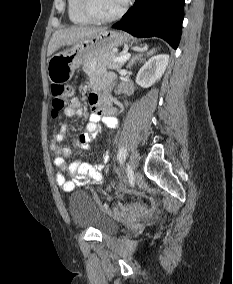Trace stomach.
I'll return each instance as SVG.
<instances>
[{"mask_svg":"<svg viewBox=\"0 0 233 284\" xmlns=\"http://www.w3.org/2000/svg\"><path fill=\"white\" fill-rule=\"evenodd\" d=\"M129 41V37L115 30H103L92 38L82 40L70 49L58 52L47 62L48 78L53 84L67 83L75 70L83 64L110 52Z\"/></svg>","mask_w":233,"mask_h":284,"instance_id":"obj_1","label":"stomach"}]
</instances>
